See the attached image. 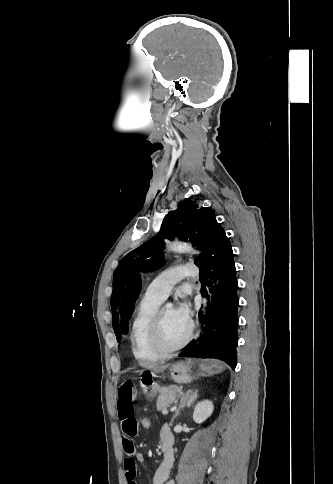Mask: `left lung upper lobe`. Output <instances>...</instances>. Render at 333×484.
Returning <instances> with one entry per match:
<instances>
[{"mask_svg":"<svg viewBox=\"0 0 333 484\" xmlns=\"http://www.w3.org/2000/svg\"><path fill=\"white\" fill-rule=\"evenodd\" d=\"M212 219H215V214L209 208H200L192 201L181 202L176 210L165 216L156 236L128 253L121 260L114 272L111 296L112 323L117 341H120L121 334L116 309L130 276L136 271L156 270L164 264L163 238L172 240L177 236L182 241L192 242L197 249L202 250L208 225Z\"/></svg>","mask_w":333,"mask_h":484,"instance_id":"left-lung-upper-lobe-1","label":"left lung upper lobe"}]
</instances>
